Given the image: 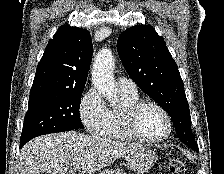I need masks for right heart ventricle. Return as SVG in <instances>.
<instances>
[{
  "instance_id": "e07e8e85",
  "label": "right heart ventricle",
  "mask_w": 224,
  "mask_h": 174,
  "mask_svg": "<svg viewBox=\"0 0 224 174\" xmlns=\"http://www.w3.org/2000/svg\"><path fill=\"white\" fill-rule=\"evenodd\" d=\"M121 103L118 107L107 109L106 125L100 136L109 140L134 141L136 140L125 128L123 111L126 107L139 100L138 94L120 92Z\"/></svg>"
}]
</instances>
